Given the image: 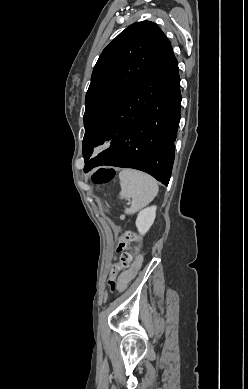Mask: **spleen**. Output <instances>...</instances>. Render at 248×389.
<instances>
[{"mask_svg": "<svg viewBox=\"0 0 248 389\" xmlns=\"http://www.w3.org/2000/svg\"><path fill=\"white\" fill-rule=\"evenodd\" d=\"M120 198L130 200L131 206L125 213L132 215L147 206L158 193L157 181L147 173L124 169L119 173Z\"/></svg>", "mask_w": 248, "mask_h": 389, "instance_id": "spleen-1", "label": "spleen"}]
</instances>
